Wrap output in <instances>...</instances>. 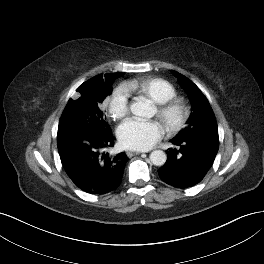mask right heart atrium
Segmentation results:
<instances>
[{
	"instance_id": "right-heart-atrium-1",
	"label": "right heart atrium",
	"mask_w": 264,
	"mask_h": 264,
	"mask_svg": "<svg viewBox=\"0 0 264 264\" xmlns=\"http://www.w3.org/2000/svg\"><path fill=\"white\" fill-rule=\"evenodd\" d=\"M106 106L114 120L126 117L130 110L129 91L125 86H119L107 98Z\"/></svg>"
}]
</instances>
